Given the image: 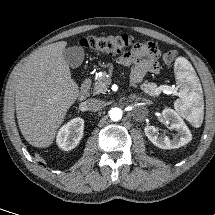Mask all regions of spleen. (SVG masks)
Here are the masks:
<instances>
[{
	"mask_svg": "<svg viewBox=\"0 0 215 215\" xmlns=\"http://www.w3.org/2000/svg\"><path fill=\"white\" fill-rule=\"evenodd\" d=\"M176 79L180 85V98L174 102L175 110L191 122L203 112L201 91L189 61L179 57L175 61Z\"/></svg>",
	"mask_w": 215,
	"mask_h": 215,
	"instance_id": "spleen-1",
	"label": "spleen"
}]
</instances>
